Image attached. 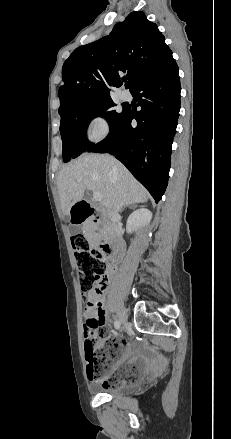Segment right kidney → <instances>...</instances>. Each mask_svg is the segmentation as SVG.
Segmentation results:
<instances>
[{
	"label": "right kidney",
	"instance_id": "ca27d5eb",
	"mask_svg": "<svg viewBox=\"0 0 231 439\" xmlns=\"http://www.w3.org/2000/svg\"><path fill=\"white\" fill-rule=\"evenodd\" d=\"M151 219L152 213L145 208L134 211L127 220L128 232L130 233L133 230H138L141 227H144L151 221Z\"/></svg>",
	"mask_w": 231,
	"mask_h": 439
}]
</instances>
